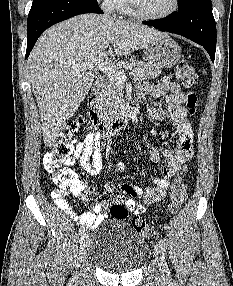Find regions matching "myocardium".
I'll list each match as a JSON object with an SVG mask.
<instances>
[{
  "label": "myocardium",
  "mask_w": 233,
  "mask_h": 286,
  "mask_svg": "<svg viewBox=\"0 0 233 286\" xmlns=\"http://www.w3.org/2000/svg\"><path fill=\"white\" fill-rule=\"evenodd\" d=\"M127 1H128V5H129V7H130V9L134 15H136L142 19L151 20V21L164 20L166 18H169L172 15H174L179 8V0H173V6L168 12H166L162 15H150V14L145 13L141 9L137 0H127Z\"/></svg>",
  "instance_id": "1"
}]
</instances>
